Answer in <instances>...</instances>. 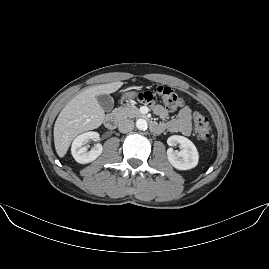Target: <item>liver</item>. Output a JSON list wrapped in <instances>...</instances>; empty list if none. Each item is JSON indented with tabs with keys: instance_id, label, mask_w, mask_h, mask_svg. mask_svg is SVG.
I'll return each instance as SVG.
<instances>
[{
	"instance_id": "6515ba94",
	"label": "liver",
	"mask_w": 269,
	"mask_h": 269,
	"mask_svg": "<svg viewBox=\"0 0 269 269\" xmlns=\"http://www.w3.org/2000/svg\"><path fill=\"white\" fill-rule=\"evenodd\" d=\"M123 82L117 81L90 87L75 96L60 112L54 126V142L59 157H64L72 140L80 133L98 128L105 113L97 96L117 91Z\"/></svg>"
}]
</instances>
